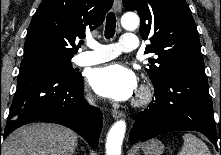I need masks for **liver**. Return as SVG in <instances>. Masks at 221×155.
I'll list each match as a JSON object with an SVG mask.
<instances>
[{
    "mask_svg": "<svg viewBox=\"0 0 221 155\" xmlns=\"http://www.w3.org/2000/svg\"><path fill=\"white\" fill-rule=\"evenodd\" d=\"M78 135L69 128L33 123L11 133L2 146V155H73Z\"/></svg>",
    "mask_w": 221,
    "mask_h": 155,
    "instance_id": "1",
    "label": "liver"
}]
</instances>
